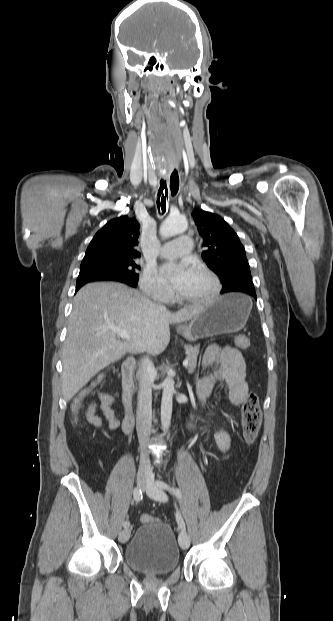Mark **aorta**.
Returning <instances> with one entry per match:
<instances>
[{
    "label": "aorta",
    "mask_w": 333,
    "mask_h": 621,
    "mask_svg": "<svg viewBox=\"0 0 333 621\" xmlns=\"http://www.w3.org/2000/svg\"><path fill=\"white\" fill-rule=\"evenodd\" d=\"M188 227L187 221L180 215H169L160 226L159 233L162 237L168 238L183 233ZM174 379L168 374L163 381V393L161 401V425L165 431L169 428L172 416V403L174 389Z\"/></svg>",
    "instance_id": "1"
}]
</instances>
